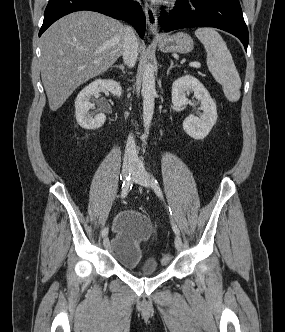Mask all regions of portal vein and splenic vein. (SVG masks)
<instances>
[{"mask_svg":"<svg viewBox=\"0 0 285 332\" xmlns=\"http://www.w3.org/2000/svg\"><path fill=\"white\" fill-rule=\"evenodd\" d=\"M190 66H191V67L199 68V67H201V64H200L199 62H191V63H190Z\"/></svg>","mask_w":285,"mask_h":332,"instance_id":"18ae733b","label":"portal vein and splenic vein"}]
</instances>
